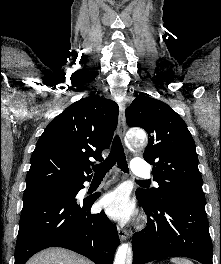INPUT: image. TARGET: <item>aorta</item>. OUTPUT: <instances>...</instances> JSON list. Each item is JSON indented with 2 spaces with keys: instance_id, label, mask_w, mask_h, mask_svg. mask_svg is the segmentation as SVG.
Wrapping results in <instances>:
<instances>
[{
  "instance_id": "1",
  "label": "aorta",
  "mask_w": 221,
  "mask_h": 264,
  "mask_svg": "<svg viewBox=\"0 0 221 264\" xmlns=\"http://www.w3.org/2000/svg\"><path fill=\"white\" fill-rule=\"evenodd\" d=\"M129 140L135 146H144L146 143V138L142 134H131ZM132 260V248L128 244H122L117 250L114 264H132Z\"/></svg>"
}]
</instances>
